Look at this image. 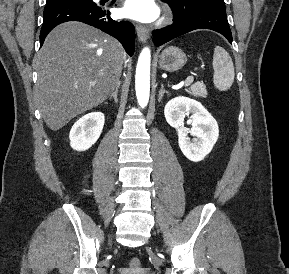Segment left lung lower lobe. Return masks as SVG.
<instances>
[{
    "label": "left lung lower lobe",
    "instance_id": "1",
    "mask_svg": "<svg viewBox=\"0 0 289 274\" xmlns=\"http://www.w3.org/2000/svg\"><path fill=\"white\" fill-rule=\"evenodd\" d=\"M173 16L172 25L152 32L153 42L156 46L196 29L214 30L226 37L232 44V34L224 9L201 8L180 19H177L175 15Z\"/></svg>",
    "mask_w": 289,
    "mask_h": 274
}]
</instances>
